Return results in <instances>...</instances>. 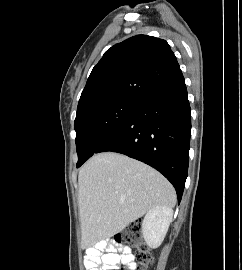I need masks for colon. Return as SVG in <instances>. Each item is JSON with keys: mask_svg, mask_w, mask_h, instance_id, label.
<instances>
[{"mask_svg": "<svg viewBox=\"0 0 242 270\" xmlns=\"http://www.w3.org/2000/svg\"><path fill=\"white\" fill-rule=\"evenodd\" d=\"M141 235V224L138 222H132L125 230L115 236L114 241L118 244L123 245L138 244V253L136 255V260L139 268L144 269L154 262V256L148 248L141 244Z\"/></svg>", "mask_w": 242, "mask_h": 270, "instance_id": "colon-1", "label": "colon"}]
</instances>
